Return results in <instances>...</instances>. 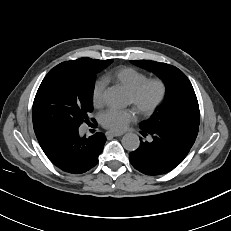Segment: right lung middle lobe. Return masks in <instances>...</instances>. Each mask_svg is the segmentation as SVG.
Returning a JSON list of instances; mask_svg holds the SVG:
<instances>
[{
	"label": "right lung middle lobe",
	"instance_id": "dd1d6c3e",
	"mask_svg": "<svg viewBox=\"0 0 231 231\" xmlns=\"http://www.w3.org/2000/svg\"><path fill=\"white\" fill-rule=\"evenodd\" d=\"M101 60L92 65L73 61L60 63L45 76L36 93L32 119L36 127L78 129L92 112L95 74L112 63Z\"/></svg>",
	"mask_w": 231,
	"mask_h": 231
}]
</instances>
